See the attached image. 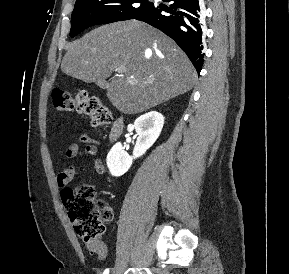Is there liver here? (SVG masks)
<instances>
[{
	"label": "liver",
	"instance_id": "obj_1",
	"mask_svg": "<svg viewBox=\"0 0 289 274\" xmlns=\"http://www.w3.org/2000/svg\"><path fill=\"white\" fill-rule=\"evenodd\" d=\"M118 66L124 72L108 84L107 97L125 114L144 112L190 91L197 77L171 38L136 20L102 25L70 43L61 70L99 83Z\"/></svg>",
	"mask_w": 289,
	"mask_h": 274
}]
</instances>
